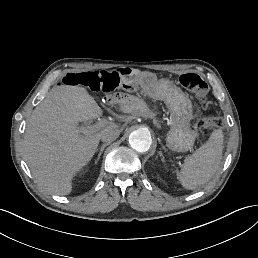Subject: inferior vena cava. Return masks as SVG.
I'll return each instance as SVG.
<instances>
[{
    "label": "inferior vena cava",
    "mask_w": 258,
    "mask_h": 258,
    "mask_svg": "<svg viewBox=\"0 0 258 258\" xmlns=\"http://www.w3.org/2000/svg\"><path fill=\"white\" fill-rule=\"evenodd\" d=\"M119 134V129H116L113 126H107L101 131L100 138L103 142H112L118 138Z\"/></svg>",
    "instance_id": "inferior-vena-cava-1"
}]
</instances>
